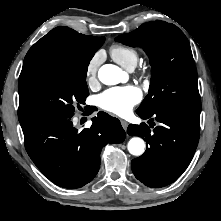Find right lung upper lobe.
<instances>
[{
  "label": "right lung upper lobe",
  "mask_w": 221,
  "mask_h": 221,
  "mask_svg": "<svg viewBox=\"0 0 221 221\" xmlns=\"http://www.w3.org/2000/svg\"><path fill=\"white\" fill-rule=\"evenodd\" d=\"M104 37L80 34L68 27H56L37 41L25 56L18 89L52 67L78 52L95 53L104 43Z\"/></svg>",
  "instance_id": "obj_1"
}]
</instances>
